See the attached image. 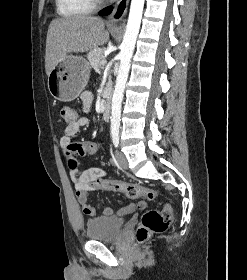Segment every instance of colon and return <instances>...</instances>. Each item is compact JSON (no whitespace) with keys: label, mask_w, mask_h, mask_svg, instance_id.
Here are the masks:
<instances>
[{"label":"colon","mask_w":247,"mask_h":280,"mask_svg":"<svg viewBox=\"0 0 247 280\" xmlns=\"http://www.w3.org/2000/svg\"><path fill=\"white\" fill-rule=\"evenodd\" d=\"M61 116L66 123L74 124L79 114L74 107L64 106L61 109ZM100 144L95 141L84 143H71L69 145V153L74 155L92 156L98 152ZM68 166L72 171H76V175H80L77 171L78 161L75 157L68 158ZM84 186L88 189L104 188L105 190L123 192L130 199L146 198L153 200L159 196V193L153 189L144 188L135 183H124L121 181L110 180L107 176L96 179H86ZM172 220V207L165 204L160 210H147L141 218L140 225L137 229V240L143 242L150 236L162 233L168 229Z\"/></svg>","instance_id":"5ec220e1"}]
</instances>
